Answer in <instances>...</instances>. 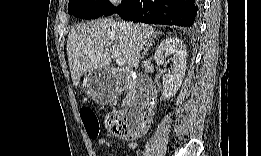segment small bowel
<instances>
[{"label": "small bowel", "instance_id": "1", "mask_svg": "<svg viewBox=\"0 0 261 156\" xmlns=\"http://www.w3.org/2000/svg\"><path fill=\"white\" fill-rule=\"evenodd\" d=\"M115 139L112 135H107L106 137H102L98 140V144L100 147H109L111 144V140ZM136 143H130L128 145V149L132 152L136 149Z\"/></svg>", "mask_w": 261, "mask_h": 156}]
</instances>
